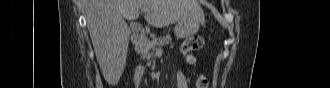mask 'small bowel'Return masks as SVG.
Listing matches in <instances>:
<instances>
[{"mask_svg": "<svg viewBox=\"0 0 330 88\" xmlns=\"http://www.w3.org/2000/svg\"><path fill=\"white\" fill-rule=\"evenodd\" d=\"M188 82L181 71L176 73V88H188Z\"/></svg>", "mask_w": 330, "mask_h": 88, "instance_id": "small-bowel-1", "label": "small bowel"}]
</instances>
